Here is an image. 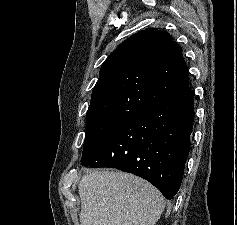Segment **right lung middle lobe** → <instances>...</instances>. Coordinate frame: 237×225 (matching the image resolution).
I'll use <instances>...</instances> for the list:
<instances>
[{"label": "right lung middle lobe", "instance_id": "obj_1", "mask_svg": "<svg viewBox=\"0 0 237 225\" xmlns=\"http://www.w3.org/2000/svg\"><path fill=\"white\" fill-rule=\"evenodd\" d=\"M128 120L122 118L87 119L82 159Z\"/></svg>", "mask_w": 237, "mask_h": 225}]
</instances>
